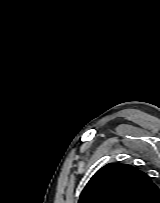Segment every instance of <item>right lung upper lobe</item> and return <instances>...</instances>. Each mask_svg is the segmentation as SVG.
I'll return each mask as SVG.
<instances>
[{"mask_svg":"<svg viewBox=\"0 0 160 203\" xmlns=\"http://www.w3.org/2000/svg\"><path fill=\"white\" fill-rule=\"evenodd\" d=\"M158 195V187L143 171L109 163L93 175L78 203H154Z\"/></svg>","mask_w":160,"mask_h":203,"instance_id":"1","label":"right lung upper lobe"}]
</instances>
